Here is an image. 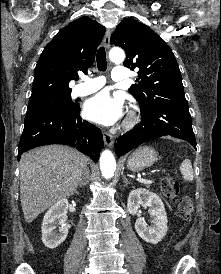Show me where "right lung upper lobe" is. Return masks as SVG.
Instances as JSON below:
<instances>
[{"instance_id": "cb5924a9", "label": "right lung upper lobe", "mask_w": 221, "mask_h": 274, "mask_svg": "<svg viewBox=\"0 0 221 274\" xmlns=\"http://www.w3.org/2000/svg\"><path fill=\"white\" fill-rule=\"evenodd\" d=\"M105 27L89 17L70 22L46 45L37 62L30 100L71 93L69 82L87 73Z\"/></svg>"}]
</instances>
